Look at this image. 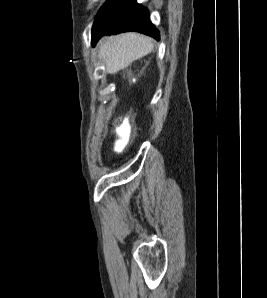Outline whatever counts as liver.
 I'll list each match as a JSON object with an SVG mask.
<instances>
[{
  "mask_svg": "<svg viewBox=\"0 0 267 298\" xmlns=\"http://www.w3.org/2000/svg\"><path fill=\"white\" fill-rule=\"evenodd\" d=\"M153 47L150 37L136 32L105 36L98 43V57L105 64L106 72L115 74L150 53Z\"/></svg>",
  "mask_w": 267,
  "mask_h": 298,
  "instance_id": "liver-1",
  "label": "liver"
}]
</instances>
